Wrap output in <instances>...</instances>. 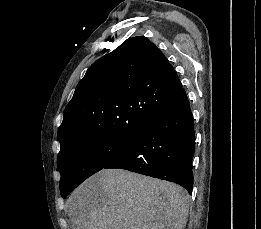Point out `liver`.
<instances>
[{"mask_svg":"<svg viewBox=\"0 0 261 229\" xmlns=\"http://www.w3.org/2000/svg\"><path fill=\"white\" fill-rule=\"evenodd\" d=\"M190 197L179 185L103 169L71 193L73 229H184Z\"/></svg>","mask_w":261,"mask_h":229,"instance_id":"obj_1","label":"liver"}]
</instances>
